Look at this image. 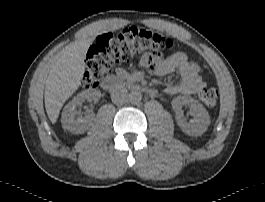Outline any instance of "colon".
Instances as JSON below:
<instances>
[{
	"mask_svg": "<svg viewBox=\"0 0 265 202\" xmlns=\"http://www.w3.org/2000/svg\"><path fill=\"white\" fill-rule=\"evenodd\" d=\"M173 47L171 38L145 28L129 27L117 33L102 34L88 51L83 85L85 88L97 87L115 64L137 60L141 65L152 68L158 54ZM199 98L206 107L214 108L218 91L215 87L204 88Z\"/></svg>",
	"mask_w": 265,
	"mask_h": 202,
	"instance_id": "1",
	"label": "colon"
}]
</instances>
